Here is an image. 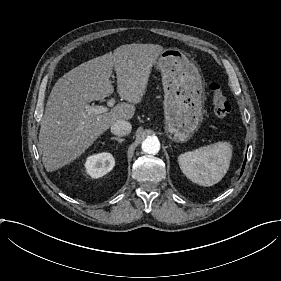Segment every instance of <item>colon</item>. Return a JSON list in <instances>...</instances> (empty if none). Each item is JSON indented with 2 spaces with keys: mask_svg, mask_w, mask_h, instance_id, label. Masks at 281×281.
Wrapping results in <instances>:
<instances>
[{
  "mask_svg": "<svg viewBox=\"0 0 281 281\" xmlns=\"http://www.w3.org/2000/svg\"><path fill=\"white\" fill-rule=\"evenodd\" d=\"M210 103L214 119L218 123H225L229 117V104L218 84L210 86Z\"/></svg>",
  "mask_w": 281,
  "mask_h": 281,
  "instance_id": "obj_1",
  "label": "colon"
}]
</instances>
